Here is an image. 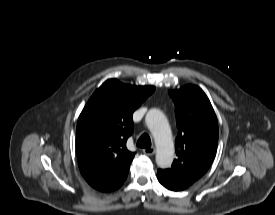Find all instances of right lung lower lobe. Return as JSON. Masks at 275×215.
Listing matches in <instances>:
<instances>
[{
    "label": "right lung lower lobe",
    "instance_id": "right-lung-lower-lobe-1",
    "mask_svg": "<svg viewBox=\"0 0 275 215\" xmlns=\"http://www.w3.org/2000/svg\"><path fill=\"white\" fill-rule=\"evenodd\" d=\"M127 178V177H126ZM125 178V179H126ZM125 179L119 181L117 184L115 185H112V186H106V187H103V188H98L97 190L99 191H102V192H110V191H113V190H116L118 188H120L122 186V184L124 183Z\"/></svg>",
    "mask_w": 275,
    "mask_h": 215
}]
</instances>
